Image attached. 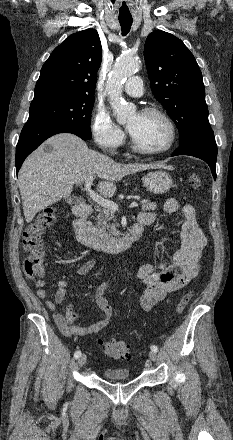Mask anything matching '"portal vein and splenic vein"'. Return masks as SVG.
I'll return each instance as SVG.
<instances>
[{
	"label": "portal vein and splenic vein",
	"mask_w": 233,
	"mask_h": 440,
	"mask_svg": "<svg viewBox=\"0 0 233 440\" xmlns=\"http://www.w3.org/2000/svg\"><path fill=\"white\" fill-rule=\"evenodd\" d=\"M92 182H93V177H88L84 183V190L88 193L90 198L94 202H96L98 205H100L104 208H107V209H110L113 211H117L118 205L115 202L108 200V199H105L104 197H102L101 195H99L98 193H96L95 191H93L91 189ZM129 207L135 208V207H138V204L136 202H133L130 204Z\"/></svg>",
	"instance_id": "portal-vein-and-splenic-vein-1"
}]
</instances>
